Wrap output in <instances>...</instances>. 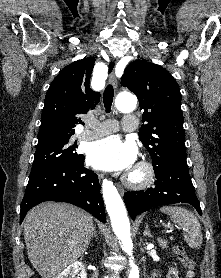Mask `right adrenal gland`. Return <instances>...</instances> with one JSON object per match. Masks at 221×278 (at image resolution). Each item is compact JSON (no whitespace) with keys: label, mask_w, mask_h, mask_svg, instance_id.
I'll return each mask as SVG.
<instances>
[{"label":"right adrenal gland","mask_w":221,"mask_h":278,"mask_svg":"<svg viewBox=\"0 0 221 278\" xmlns=\"http://www.w3.org/2000/svg\"><path fill=\"white\" fill-rule=\"evenodd\" d=\"M92 237H93V238H97V232H96V230L93 231Z\"/></svg>","instance_id":"1"}]
</instances>
